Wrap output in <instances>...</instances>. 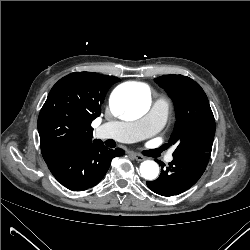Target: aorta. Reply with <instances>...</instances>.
Returning a JSON list of instances; mask_svg holds the SVG:
<instances>
[{"label":"aorta","instance_id":"1","mask_svg":"<svg viewBox=\"0 0 250 250\" xmlns=\"http://www.w3.org/2000/svg\"><path fill=\"white\" fill-rule=\"evenodd\" d=\"M150 105V92L142 85L117 88L110 98L112 113L126 120L142 117L147 113ZM140 173L143 178L153 180L159 174V166L155 161H144L140 165Z\"/></svg>","mask_w":250,"mask_h":250}]
</instances>
